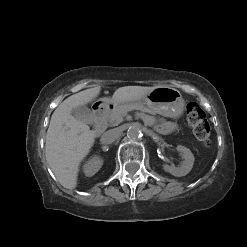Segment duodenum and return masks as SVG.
<instances>
[{"mask_svg": "<svg viewBox=\"0 0 247 247\" xmlns=\"http://www.w3.org/2000/svg\"><path fill=\"white\" fill-rule=\"evenodd\" d=\"M111 107V104L106 102L100 103L94 108V132L96 135H100L104 132L106 128V116Z\"/></svg>", "mask_w": 247, "mask_h": 247, "instance_id": "duodenum-1", "label": "duodenum"}]
</instances>
